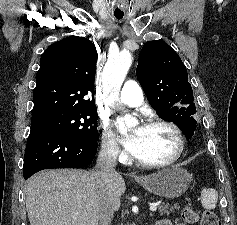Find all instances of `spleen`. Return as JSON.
<instances>
[{
	"label": "spleen",
	"instance_id": "1",
	"mask_svg": "<svg viewBox=\"0 0 237 225\" xmlns=\"http://www.w3.org/2000/svg\"><path fill=\"white\" fill-rule=\"evenodd\" d=\"M218 193L212 188H203L201 191V204L207 210L216 208Z\"/></svg>",
	"mask_w": 237,
	"mask_h": 225
}]
</instances>
